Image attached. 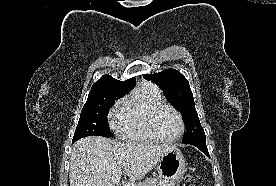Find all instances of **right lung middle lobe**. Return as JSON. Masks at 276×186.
<instances>
[{
	"label": "right lung middle lobe",
	"mask_w": 276,
	"mask_h": 186,
	"mask_svg": "<svg viewBox=\"0 0 276 186\" xmlns=\"http://www.w3.org/2000/svg\"><path fill=\"white\" fill-rule=\"evenodd\" d=\"M122 96L124 94L111 92L89 93L80 114L73 142L86 136L112 137L113 134L109 128L107 115L115 100Z\"/></svg>",
	"instance_id": "dd1d6c3e"
}]
</instances>
